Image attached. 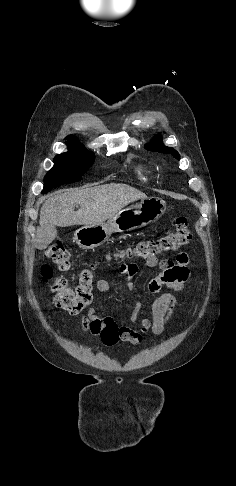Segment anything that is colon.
<instances>
[{
    "label": "colon",
    "mask_w": 236,
    "mask_h": 486,
    "mask_svg": "<svg viewBox=\"0 0 236 486\" xmlns=\"http://www.w3.org/2000/svg\"><path fill=\"white\" fill-rule=\"evenodd\" d=\"M192 238V233L185 217L177 219L175 230L162 235L156 239L142 240L135 246L122 251L127 258H143L145 260L157 257L166 252L176 251L187 245ZM44 258L47 261L42 267V276L48 280L52 277V268L49 263L54 264L63 271L69 266L70 254L60 243L49 245L44 251ZM94 271L92 267L83 268L78 274L77 286L70 287L66 278L58 276L51 284L53 292V304L71 314L79 313L92 301V286Z\"/></svg>",
    "instance_id": "5ec220e1"
}]
</instances>
